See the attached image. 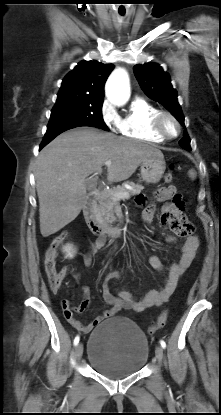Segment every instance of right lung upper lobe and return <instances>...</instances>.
Segmentation results:
<instances>
[{"label": "right lung upper lobe", "instance_id": "right-lung-upper-lobe-1", "mask_svg": "<svg viewBox=\"0 0 221 415\" xmlns=\"http://www.w3.org/2000/svg\"><path fill=\"white\" fill-rule=\"evenodd\" d=\"M113 64L81 61L62 81L58 95L104 97V84L113 70Z\"/></svg>", "mask_w": 221, "mask_h": 415}]
</instances>
